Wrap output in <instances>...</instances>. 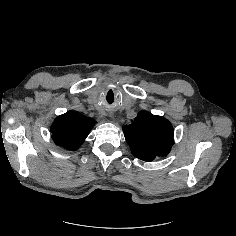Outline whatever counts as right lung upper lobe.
Listing matches in <instances>:
<instances>
[{
    "instance_id": "right-lung-upper-lobe-1",
    "label": "right lung upper lobe",
    "mask_w": 236,
    "mask_h": 236,
    "mask_svg": "<svg viewBox=\"0 0 236 236\" xmlns=\"http://www.w3.org/2000/svg\"><path fill=\"white\" fill-rule=\"evenodd\" d=\"M95 123L92 118L77 112H67L55 119L51 127L52 138L57 145L67 150H77Z\"/></svg>"
}]
</instances>
